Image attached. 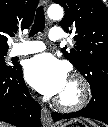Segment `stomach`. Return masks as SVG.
Wrapping results in <instances>:
<instances>
[{"label":"stomach","mask_w":108,"mask_h":127,"mask_svg":"<svg viewBox=\"0 0 108 127\" xmlns=\"http://www.w3.org/2000/svg\"><path fill=\"white\" fill-rule=\"evenodd\" d=\"M93 126L96 127V125ZM49 127H88V125L80 119H73L63 124H53Z\"/></svg>","instance_id":"obj_1"}]
</instances>
